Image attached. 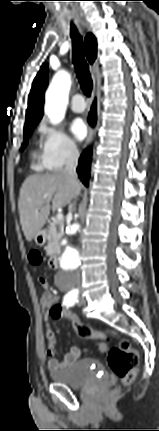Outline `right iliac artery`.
Returning a JSON list of instances; mask_svg holds the SVG:
<instances>
[{
	"instance_id": "82829eb1",
	"label": "right iliac artery",
	"mask_w": 159,
	"mask_h": 431,
	"mask_svg": "<svg viewBox=\"0 0 159 431\" xmlns=\"http://www.w3.org/2000/svg\"><path fill=\"white\" fill-rule=\"evenodd\" d=\"M77 297H78V291L77 290H72L70 292H68L63 300L64 305L66 306H73L76 302H77Z\"/></svg>"
}]
</instances>
